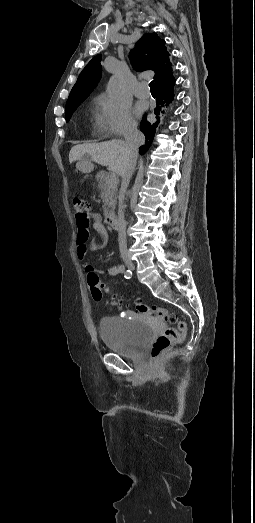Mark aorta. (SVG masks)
Listing matches in <instances>:
<instances>
[{
  "mask_svg": "<svg viewBox=\"0 0 255 523\" xmlns=\"http://www.w3.org/2000/svg\"><path fill=\"white\" fill-rule=\"evenodd\" d=\"M121 91V79L114 75L110 78L107 85V93L111 98H115L120 94Z\"/></svg>",
  "mask_w": 255,
  "mask_h": 523,
  "instance_id": "aorta-1",
  "label": "aorta"
}]
</instances>
